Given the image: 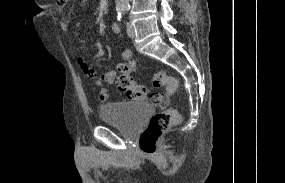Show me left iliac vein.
I'll return each mask as SVG.
<instances>
[{"label":"left iliac vein","instance_id":"left-iliac-vein-1","mask_svg":"<svg viewBox=\"0 0 285 183\" xmlns=\"http://www.w3.org/2000/svg\"><path fill=\"white\" fill-rule=\"evenodd\" d=\"M127 34L130 38L135 37V29L129 22L127 23Z\"/></svg>","mask_w":285,"mask_h":183}]
</instances>
